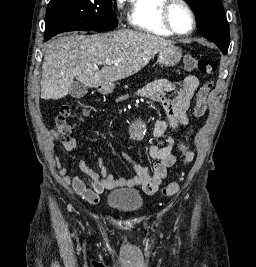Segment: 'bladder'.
Returning <instances> with one entry per match:
<instances>
[{"instance_id":"obj_1","label":"bladder","mask_w":256,"mask_h":267,"mask_svg":"<svg viewBox=\"0 0 256 267\" xmlns=\"http://www.w3.org/2000/svg\"><path fill=\"white\" fill-rule=\"evenodd\" d=\"M107 204L117 212L128 215L142 207V198L139 191L115 190L108 194Z\"/></svg>"}]
</instances>
